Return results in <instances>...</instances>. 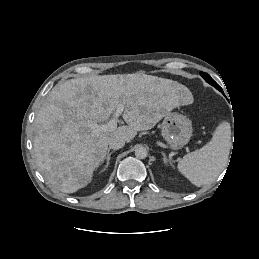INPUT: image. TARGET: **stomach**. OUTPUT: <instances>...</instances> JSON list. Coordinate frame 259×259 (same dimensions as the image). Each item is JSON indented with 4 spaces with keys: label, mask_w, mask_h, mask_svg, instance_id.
<instances>
[{
    "label": "stomach",
    "mask_w": 259,
    "mask_h": 259,
    "mask_svg": "<svg viewBox=\"0 0 259 259\" xmlns=\"http://www.w3.org/2000/svg\"><path fill=\"white\" fill-rule=\"evenodd\" d=\"M184 92H189L183 88ZM192 123L189 118L177 112H168L161 126V134L173 150L184 147L192 136Z\"/></svg>",
    "instance_id": "0dacf381"
}]
</instances>
